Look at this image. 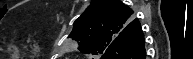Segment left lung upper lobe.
<instances>
[{"mask_svg":"<svg viewBox=\"0 0 193 59\" xmlns=\"http://www.w3.org/2000/svg\"><path fill=\"white\" fill-rule=\"evenodd\" d=\"M133 13L131 8L117 0H92L74 22V29L68 37L78 41V49L86 54H104L134 21Z\"/></svg>","mask_w":193,"mask_h":59,"instance_id":"left-lung-upper-lobe-1","label":"left lung upper lobe"}]
</instances>
